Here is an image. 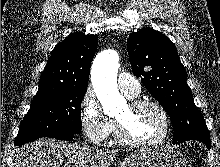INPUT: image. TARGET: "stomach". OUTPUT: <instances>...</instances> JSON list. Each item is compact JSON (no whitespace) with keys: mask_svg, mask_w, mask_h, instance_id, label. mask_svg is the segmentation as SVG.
Instances as JSON below:
<instances>
[{"mask_svg":"<svg viewBox=\"0 0 220 167\" xmlns=\"http://www.w3.org/2000/svg\"><path fill=\"white\" fill-rule=\"evenodd\" d=\"M121 167H190V164L182 153L160 147L131 153Z\"/></svg>","mask_w":220,"mask_h":167,"instance_id":"1","label":"stomach"}]
</instances>
